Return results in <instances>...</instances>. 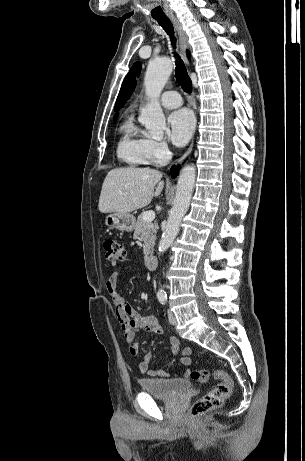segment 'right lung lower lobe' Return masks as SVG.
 Masks as SVG:
<instances>
[{
    "label": "right lung lower lobe",
    "instance_id": "98d812e1",
    "mask_svg": "<svg viewBox=\"0 0 305 461\" xmlns=\"http://www.w3.org/2000/svg\"><path fill=\"white\" fill-rule=\"evenodd\" d=\"M177 173H178V170L175 169L174 167H172V170H171L172 177H175L177 175Z\"/></svg>",
    "mask_w": 305,
    "mask_h": 461
}]
</instances>
